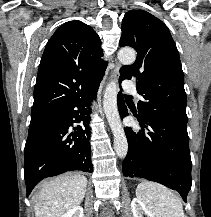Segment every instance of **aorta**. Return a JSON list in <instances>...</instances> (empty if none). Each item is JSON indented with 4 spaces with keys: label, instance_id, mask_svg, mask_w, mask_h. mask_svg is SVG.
Masks as SVG:
<instances>
[{
    "label": "aorta",
    "instance_id": "obj_1",
    "mask_svg": "<svg viewBox=\"0 0 211 217\" xmlns=\"http://www.w3.org/2000/svg\"><path fill=\"white\" fill-rule=\"evenodd\" d=\"M117 57L123 64H132L136 59V53L133 49L123 48L119 50ZM103 107L114 135V150L118 157L124 158L128 151V143L117 108V83L115 81H111L106 86Z\"/></svg>",
    "mask_w": 211,
    "mask_h": 217
}]
</instances>
